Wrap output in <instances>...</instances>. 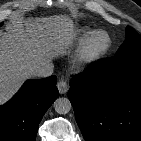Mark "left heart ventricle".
<instances>
[{"label": "left heart ventricle", "instance_id": "obj_1", "mask_svg": "<svg viewBox=\"0 0 141 141\" xmlns=\"http://www.w3.org/2000/svg\"><path fill=\"white\" fill-rule=\"evenodd\" d=\"M104 44V39L102 37H99L94 42V47L99 48Z\"/></svg>", "mask_w": 141, "mask_h": 141}]
</instances>
